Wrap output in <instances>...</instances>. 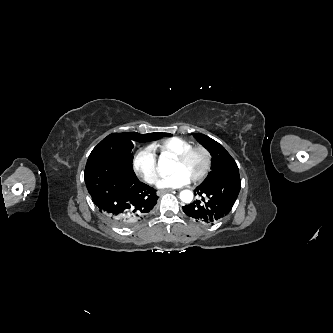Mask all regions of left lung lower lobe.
Instances as JSON below:
<instances>
[{"mask_svg": "<svg viewBox=\"0 0 333 333\" xmlns=\"http://www.w3.org/2000/svg\"><path fill=\"white\" fill-rule=\"evenodd\" d=\"M240 188L239 176L222 178L209 185H199L195 194L206 195L208 201L202 199L205 204H200V201L193 202L184 206L183 211L197 222L214 224L231 211Z\"/></svg>", "mask_w": 333, "mask_h": 333, "instance_id": "1", "label": "left lung lower lobe"}]
</instances>
